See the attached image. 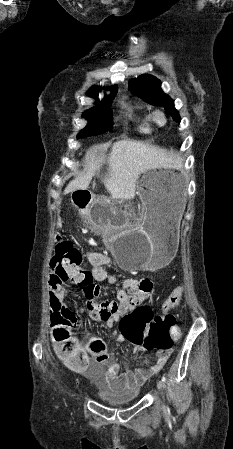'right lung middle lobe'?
<instances>
[{
    "instance_id": "obj_1",
    "label": "right lung middle lobe",
    "mask_w": 233,
    "mask_h": 449,
    "mask_svg": "<svg viewBox=\"0 0 233 449\" xmlns=\"http://www.w3.org/2000/svg\"><path fill=\"white\" fill-rule=\"evenodd\" d=\"M115 94L104 97L101 102L95 103L97 106L85 111L83 117L88 120L87 127L82 130L77 138L98 135L109 130L113 125V116L110 109Z\"/></svg>"
}]
</instances>
